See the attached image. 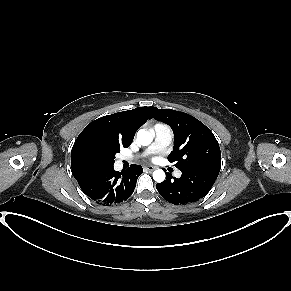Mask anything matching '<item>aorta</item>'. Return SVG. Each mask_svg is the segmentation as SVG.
I'll list each match as a JSON object with an SVG mask.
<instances>
[{
    "mask_svg": "<svg viewBox=\"0 0 291 291\" xmlns=\"http://www.w3.org/2000/svg\"><path fill=\"white\" fill-rule=\"evenodd\" d=\"M137 141L143 145L147 146L153 141L152 135L147 132L145 129H140L137 133ZM153 179L156 182H163L165 180V172L161 169L155 170L153 172Z\"/></svg>",
    "mask_w": 291,
    "mask_h": 291,
    "instance_id": "aorta-1",
    "label": "aorta"
}]
</instances>
